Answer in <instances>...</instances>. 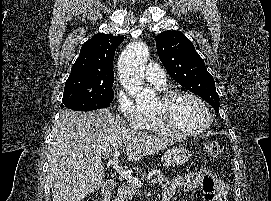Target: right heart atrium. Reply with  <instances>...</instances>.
Returning a JSON list of instances; mask_svg holds the SVG:
<instances>
[{"instance_id":"d8ad5b80","label":"right heart atrium","mask_w":271,"mask_h":201,"mask_svg":"<svg viewBox=\"0 0 271 201\" xmlns=\"http://www.w3.org/2000/svg\"><path fill=\"white\" fill-rule=\"evenodd\" d=\"M117 103L125 122L129 126L146 129L151 123L153 118L143 114L125 93L118 94Z\"/></svg>"}]
</instances>
